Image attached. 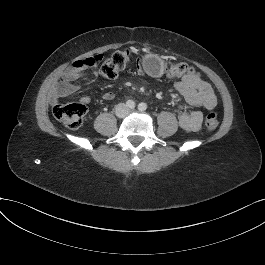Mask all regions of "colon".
Returning a JSON list of instances; mask_svg holds the SVG:
<instances>
[{"label": "colon", "instance_id": "obj_1", "mask_svg": "<svg viewBox=\"0 0 265 265\" xmlns=\"http://www.w3.org/2000/svg\"><path fill=\"white\" fill-rule=\"evenodd\" d=\"M130 60V53L127 50H118L104 58L102 55H93L73 64L70 75H77L80 70L93 68L100 65V73L103 77L114 79L125 69ZM165 75L169 79L184 76H199L190 66L185 63L167 64L165 66ZM67 80L64 78L60 81L65 84ZM87 108L84 104L78 102L57 103L53 108L54 117L71 129L79 128L84 121ZM205 127L212 131L219 125V121L215 112V107H208L204 121Z\"/></svg>", "mask_w": 265, "mask_h": 265}]
</instances>
